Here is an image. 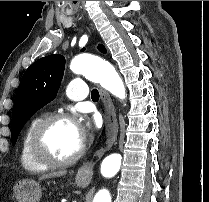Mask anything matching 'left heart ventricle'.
Segmentation results:
<instances>
[{"mask_svg":"<svg viewBox=\"0 0 209 202\" xmlns=\"http://www.w3.org/2000/svg\"><path fill=\"white\" fill-rule=\"evenodd\" d=\"M81 142L76 123L68 121H61L50 126L42 139L45 152L56 160H63L74 155Z\"/></svg>","mask_w":209,"mask_h":202,"instance_id":"1","label":"left heart ventricle"}]
</instances>
